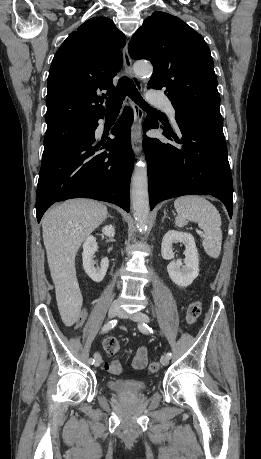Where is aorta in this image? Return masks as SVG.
Segmentation results:
<instances>
[{
  "label": "aorta",
  "instance_id": "1",
  "mask_svg": "<svg viewBox=\"0 0 261 459\" xmlns=\"http://www.w3.org/2000/svg\"><path fill=\"white\" fill-rule=\"evenodd\" d=\"M133 69L141 79H148L153 73V67L149 63L137 62ZM131 202L137 228L141 233H144L149 215L147 163L144 157L134 167L131 181Z\"/></svg>",
  "mask_w": 261,
  "mask_h": 459
}]
</instances>
